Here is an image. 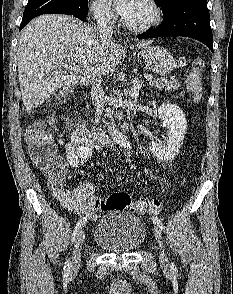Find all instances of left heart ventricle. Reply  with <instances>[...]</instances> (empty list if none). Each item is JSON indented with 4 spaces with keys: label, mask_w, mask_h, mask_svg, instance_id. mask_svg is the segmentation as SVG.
<instances>
[{
    "label": "left heart ventricle",
    "mask_w": 233,
    "mask_h": 294,
    "mask_svg": "<svg viewBox=\"0 0 233 294\" xmlns=\"http://www.w3.org/2000/svg\"><path fill=\"white\" fill-rule=\"evenodd\" d=\"M150 17V8L141 0L136 10L126 20L132 24H141L149 20Z\"/></svg>",
    "instance_id": "left-heart-ventricle-1"
}]
</instances>
